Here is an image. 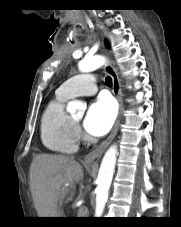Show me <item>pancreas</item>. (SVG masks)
<instances>
[{
    "instance_id": "pancreas-1",
    "label": "pancreas",
    "mask_w": 181,
    "mask_h": 227,
    "mask_svg": "<svg viewBox=\"0 0 181 227\" xmlns=\"http://www.w3.org/2000/svg\"><path fill=\"white\" fill-rule=\"evenodd\" d=\"M87 210L84 209L82 210V207L78 210V215L77 217H86L85 214H86Z\"/></svg>"
}]
</instances>
